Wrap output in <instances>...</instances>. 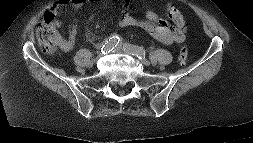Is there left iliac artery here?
I'll return each mask as SVG.
<instances>
[{"instance_id": "left-iliac-artery-1", "label": "left iliac artery", "mask_w": 253, "mask_h": 143, "mask_svg": "<svg viewBox=\"0 0 253 143\" xmlns=\"http://www.w3.org/2000/svg\"><path fill=\"white\" fill-rule=\"evenodd\" d=\"M127 45H130V44H125L124 47H126ZM132 49H133L132 55H135L139 59L145 58V50L143 48L132 45Z\"/></svg>"}]
</instances>
